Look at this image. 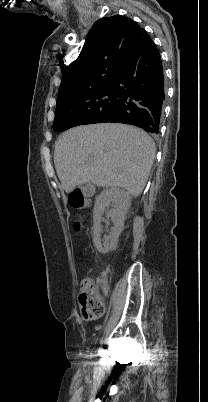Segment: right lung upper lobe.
<instances>
[{"mask_svg":"<svg viewBox=\"0 0 208 402\" xmlns=\"http://www.w3.org/2000/svg\"><path fill=\"white\" fill-rule=\"evenodd\" d=\"M146 35L122 15L96 21L78 58L65 69L58 95L98 81H114Z\"/></svg>","mask_w":208,"mask_h":402,"instance_id":"1","label":"right lung upper lobe"}]
</instances>
